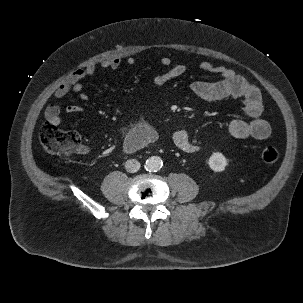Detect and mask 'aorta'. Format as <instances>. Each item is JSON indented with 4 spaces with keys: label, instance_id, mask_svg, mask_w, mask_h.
<instances>
[{
    "label": "aorta",
    "instance_id": "obj_1",
    "mask_svg": "<svg viewBox=\"0 0 303 303\" xmlns=\"http://www.w3.org/2000/svg\"><path fill=\"white\" fill-rule=\"evenodd\" d=\"M163 161L159 156H151L145 162V168L149 172H157L162 168Z\"/></svg>",
    "mask_w": 303,
    "mask_h": 303
}]
</instances>
